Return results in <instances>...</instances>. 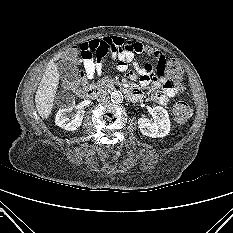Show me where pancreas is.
Wrapping results in <instances>:
<instances>
[{"mask_svg": "<svg viewBox=\"0 0 233 233\" xmlns=\"http://www.w3.org/2000/svg\"><path fill=\"white\" fill-rule=\"evenodd\" d=\"M114 84H115V81L114 79L112 78H103V79H100L95 87L96 88H99V89H112L114 88Z\"/></svg>", "mask_w": 233, "mask_h": 233, "instance_id": "1", "label": "pancreas"}]
</instances>
